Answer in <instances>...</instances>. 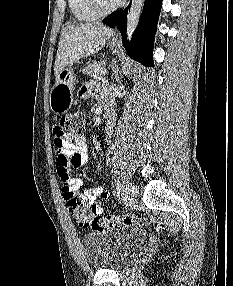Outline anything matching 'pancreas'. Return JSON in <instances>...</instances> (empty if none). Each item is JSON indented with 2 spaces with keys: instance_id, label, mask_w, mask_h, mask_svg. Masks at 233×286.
I'll use <instances>...</instances> for the list:
<instances>
[{
  "instance_id": "obj_1",
  "label": "pancreas",
  "mask_w": 233,
  "mask_h": 286,
  "mask_svg": "<svg viewBox=\"0 0 233 286\" xmlns=\"http://www.w3.org/2000/svg\"><path fill=\"white\" fill-rule=\"evenodd\" d=\"M104 69L103 62H94L92 64H88L84 69L83 73L90 76L93 79H98L102 76L101 71Z\"/></svg>"
}]
</instances>
